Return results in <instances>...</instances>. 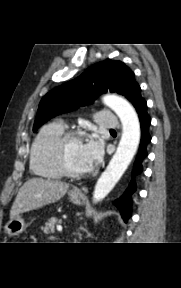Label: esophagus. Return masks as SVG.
Returning <instances> with one entry per match:
<instances>
[{
	"label": "esophagus",
	"instance_id": "esophagus-1",
	"mask_svg": "<svg viewBox=\"0 0 181 288\" xmlns=\"http://www.w3.org/2000/svg\"><path fill=\"white\" fill-rule=\"evenodd\" d=\"M74 191L79 194L83 192L86 193L88 191V188L86 186H83L81 189H75Z\"/></svg>",
	"mask_w": 181,
	"mask_h": 288
}]
</instances>
